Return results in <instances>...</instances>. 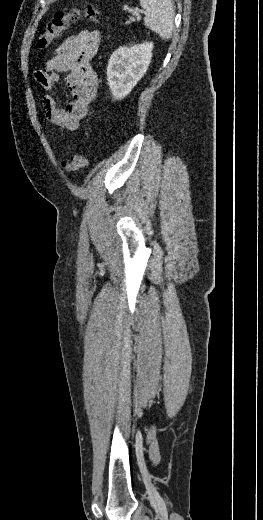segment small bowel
Listing matches in <instances>:
<instances>
[{
	"label": "small bowel",
	"mask_w": 263,
	"mask_h": 520,
	"mask_svg": "<svg viewBox=\"0 0 263 520\" xmlns=\"http://www.w3.org/2000/svg\"><path fill=\"white\" fill-rule=\"evenodd\" d=\"M101 42L98 30H83L69 36L55 51L45 67L35 73L36 80L46 93L42 106L46 119L68 131H76L95 99L98 78L91 60L97 54ZM66 73L65 83L72 100L61 107L55 96L60 74Z\"/></svg>",
	"instance_id": "c3829d8e"
}]
</instances>
